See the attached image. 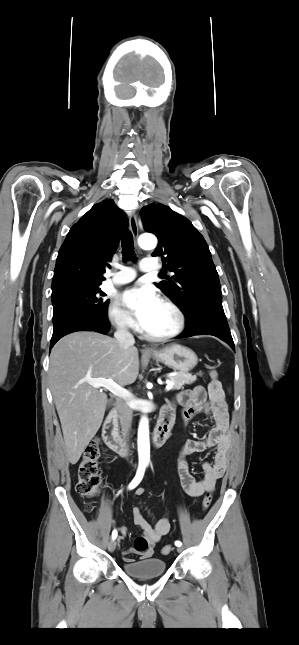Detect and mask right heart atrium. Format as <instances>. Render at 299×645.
Segmentation results:
<instances>
[{"label": "right heart atrium", "mask_w": 299, "mask_h": 645, "mask_svg": "<svg viewBox=\"0 0 299 645\" xmlns=\"http://www.w3.org/2000/svg\"><path fill=\"white\" fill-rule=\"evenodd\" d=\"M107 316L110 324L118 330L128 331L135 328V322L131 316L116 303L109 306Z\"/></svg>", "instance_id": "obj_1"}]
</instances>
